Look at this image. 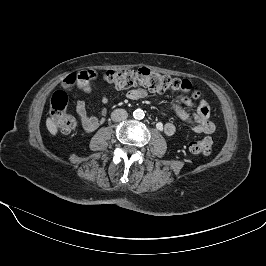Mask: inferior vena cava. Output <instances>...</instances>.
<instances>
[{
  "instance_id": "602c4592",
  "label": "inferior vena cava",
  "mask_w": 266,
  "mask_h": 266,
  "mask_svg": "<svg viewBox=\"0 0 266 266\" xmlns=\"http://www.w3.org/2000/svg\"><path fill=\"white\" fill-rule=\"evenodd\" d=\"M128 117V113L125 109H115L111 113V119L114 122H120L122 120H125Z\"/></svg>"
}]
</instances>
